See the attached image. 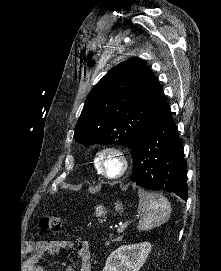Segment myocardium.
Wrapping results in <instances>:
<instances>
[{"mask_svg": "<svg viewBox=\"0 0 221 271\" xmlns=\"http://www.w3.org/2000/svg\"><path fill=\"white\" fill-rule=\"evenodd\" d=\"M104 147L106 145H103ZM109 148L106 150H100L103 156H97L99 165H95L100 169L98 175H104V178H121L123 177L129 170H127V165L125 160L126 158L122 156L123 150H110V145H107ZM104 170H117L115 172H107Z\"/></svg>", "mask_w": 221, "mask_h": 271, "instance_id": "myocardium-1", "label": "myocardium"}]
</instances>
